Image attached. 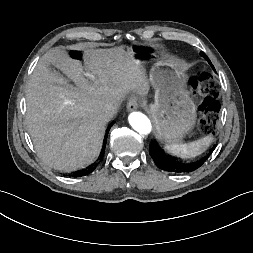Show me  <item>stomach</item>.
I'll list each match as a JSON object with an SVG mask.
<instances>
[{
  "instance_id": "0dacf381",
  "label": "stomach",
  "mask_w": 253,
  "mask_h": 253,
  "mask_svg": "<svg viewBox=\"0 0 253 253\" xmlns=\"http://www.w3.org/2000/svg\"><path fill=\"white\" fill-rule=\"evenodd\" d=\"M128 49L141 63L154 55L142 47ZM150 81L155 88V101L149 112L156 124L157 137L166 144L180 143L196 121V106L186 91L187 76L177 63L161 60L152 67Z\"/></svg>"
}]
</instances>
